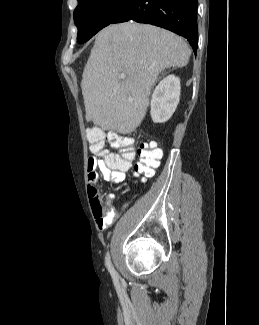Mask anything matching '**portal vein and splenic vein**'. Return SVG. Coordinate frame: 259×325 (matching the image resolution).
Returning a JSON list of instances; mask_svg holds the SVG:
<instances>
[{
    "instance_id": "portal-vein-and-splenic-vein-1",
    "label": "portal vein and splenic vein",
    "mask_w": 259,
    "mask_h": 325,
    "mask_svg": "<svg viewBox=\"0 0 259 325\" xmlns=\"http://www.w3.org/2000/svg\"><path fill=\"white\" fill-rule=\"evenodd\" d=\"M121 79H125V75H121Z\"/></svg>"
}]
</instances>
